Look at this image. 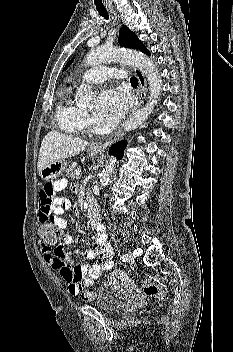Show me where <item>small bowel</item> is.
I'll return each mask as SVG.
<instances>
[{
    "label": "small bowel",
    "instance_id": "obj_1",
    "mask_svg": "<svg viewBox=\"0 0 233 352\" xmlns=\"http://www.w3.org/2000/svg\"><path fill=\"white\" fill-rule=\"evenodd\" d=\"M66 186V181L60 179L55 182L45 183L39 193L40 207L38 218L41 223H50L62 231L68 226V220L63 217L65 211L69 209L70 203L66 198L58 196ZM96 233L92 242H85L90 246L85 252L88 260H95L94 263L74 266L68 259L64 251V246L77 244L80 241L72 236L65 235L63 243L55 248L41 244L44 260L55 270L67 283V290L72 295H77L82 288L89 287L105 272L113 268L112 250L106 243V236L103 227L97 222H93Z\"/></svg>",
    "mask_w": 233,
    "mask_h": 352
}]
</instances>
